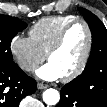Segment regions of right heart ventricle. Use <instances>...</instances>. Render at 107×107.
I'll list each match as a JSON object with an SVG mask.
<instances>
[{"instance_id":"1","label":"right heart ventricle","mask_w":107,"mask_h":107,"mask_svg":"<svg viewBox=\"0 0 107 107\" xmlns=\"http://www.w3.org/2000/svg\"><path fill=\"white\" fill-rule=\"evenodd\" d=\"M76 17L72 15L48 16L38 20L29 30V35L35 45L46 55L58 34Z\"/></svg>"}]
</instances>
